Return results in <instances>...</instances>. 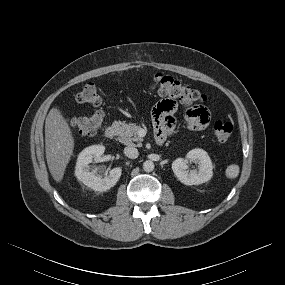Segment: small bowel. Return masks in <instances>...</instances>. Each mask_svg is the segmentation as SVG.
Here are the masks:
<instances>
[{"mask_svg":"<svg viewBox=\"0 0 285 285\" xmlns=\"http://www.w3.org/2000/svg\"><path fill=\"white\" fill-rule=\"evenodd\" d=\"M180 108V101L172 95H165L152 111V121L158 137L173 132L175 120L173 113ZM185 121L192 131L205 129L210 122V113L205 107L193 106L185 111Z\"/></svg>","mask_w":285,"mask_h":285,"instance_id":"c3829d8e","label":"small bowel"}]
</instances>
